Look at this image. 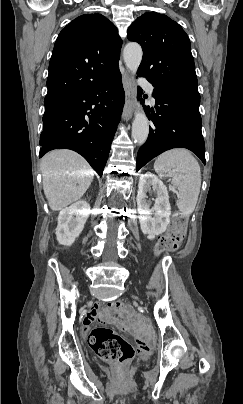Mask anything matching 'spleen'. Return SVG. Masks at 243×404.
I'll return each instance as SVG.
<instances>
[{
  "mask_svg": "<svg viewBox=\"0 0 243 404\" xmlns=\"http://www.w3.org/2000/svg\"><path fill=\"white\" fill-rule=\"evenodd\" d=\"M154 170L158 176H172L173 186L179 192L176 206L183 216L193 214L201 188L200 166L189 150L174 148L157 158Z\"/></svg>",
  "mask_w": 243,
  "mask_h": 404,
  "instance_id": "obj_1",
  "label": "spleen"
}]
</instances>
